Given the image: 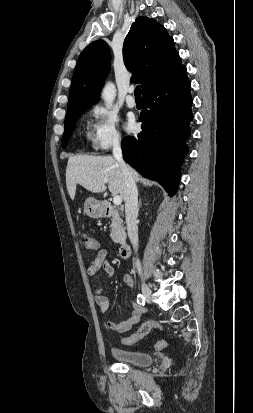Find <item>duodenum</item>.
<instances>
[{
	"label": "duodenum",
	"instance_id": "duodenum-1",
	"mask_svg": "<svg viewBox=\"0 0 253 413\" xmlns=\"http://www.w3.org/2000/svg\"><path fill=\"white\" fill-rule=\"evenodd\" d=\"M113 212H114V209L111 206L109 205L104 206L105 215L109 216L113 214ZM130 254H131L130 245L127 242H121L119 246V256L122 259H127L130 257Z\"/></svg>",
	"mask_w": 253,
	"mask_h": 413
}]
</instances>
